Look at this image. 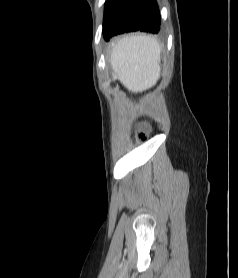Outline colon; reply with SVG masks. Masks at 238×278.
I'll use <instances>...</instances> for the list:
<instances>
[{
	"mask_svg": "<svg viewBox=\"0 0 238 278\" xmlns=\"http://www.w3.org/2000/svg\"><path fill=\"white\" fill-rule=\"evenodd\" d=\"M138 137H139L140 140H144V139L146 138V134L143 133V132H140V133L138 134Z\"/></svg>",
	"mask_w": 238,
	"mask_h": 278,
	"instance_id": "colon-1",
	"label": "colon"
}]
</instances>
